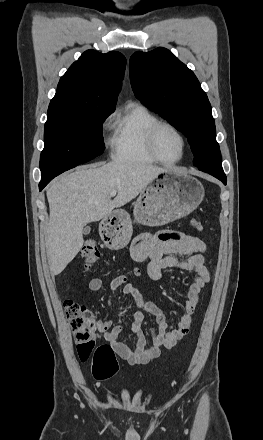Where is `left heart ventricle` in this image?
Masks as SVG:
<instances>
[{
  "instance_id": "b2bd125f",
  "label": "left heart ventricle",
  "mask_w": 263,
  "mask_h": 440,
  "mask_svg": "<svg viewBox=\"0 0 263 440\" xmlns=\"http://www.w3.org/2000/svg\"><path fill=\"white\" fill-rule=\"evenodd\" d=\"M155 145L159 156L168 161L178 159L182 152L181 139L168 127L158 131Z\"/></svg>"
}]
</instances>
